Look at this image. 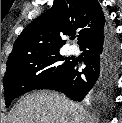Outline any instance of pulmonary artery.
I'll return each instance as SVG.
<instances>
[{"instance_id":"obj_1","label":"pulmonary artery","mask_w":122,"mask_h":123,"mask_svg":"<svg viewBox=\"0 0 122 123\" xmlns=\"http://www.w3.org/2000/svg\"><path fill=\"white\" fill-rule=\"evenodd\" d=\"M68 52L70 54H77L78 53V48L76 46L72 45V46L69 47Z\"/></svg>"}]
</instances>
